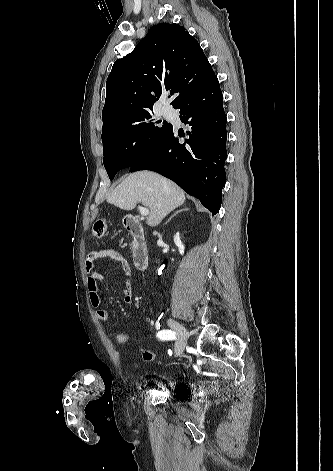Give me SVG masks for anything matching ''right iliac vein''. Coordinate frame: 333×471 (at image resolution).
Listing matches in <instances>:
<instances>
[{"mask_svg":"<svg viewBox=\"0 0 333 471\" xmlns=\"http://www.w3.org/2000/svg\"><path fill=\"white\" fill-rule=\"evenodd\" d=\"M168 325L179 336V340L176 342V345H175V357H178L183 353L189 335L185 327H183L180 323L176 322L175 320L168 319Z\"/></svg>","mask_w":333,"mask_h":471,"instance_id":"1","label":"right iliac vein"}]
</instances>
